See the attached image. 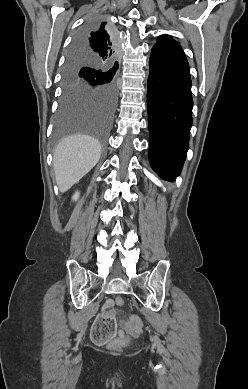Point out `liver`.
I'll use <instances>...</instances> for the list:
<instances>
[{
  "label": "liver",
  "mask_w": 248,
  "mask_h": 389,
  "mask_svg": "<svg viewBox=\"0 0 248 389\" xmlns=\"http://www.w3.org/2000/svg\"><path fill=\"white\" fill-rule=\"evenodd\" d=\"M101 145L89 135L75 134L63 138L53 153L56 183L61 193L69 190L99 161Z\"/></svg>",
  "instance_id": "obj_1"
}]
</instances>
